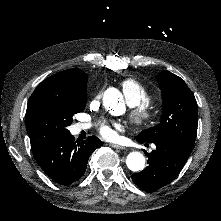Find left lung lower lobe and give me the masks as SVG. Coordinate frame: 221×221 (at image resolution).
Here are the masks:
<instances>
[{"instance_id":"1","label":"left lung lower lobe","mask_w":221,"mask_h":221,"mask_svg":"<svg viewBox=\"0 0 221 221\" xmlns=\"http://www.w3.org/2000/svg\"><path fill=\"white\" fill-rule=\"evenodd\" d=\"M139 143H154L156 149L148 156V167L132 175L133 182L146 192L156 191L170 183L182 170L191 152L170 139L144 140L136 137Z\"/></svg>"}]
</instances>
